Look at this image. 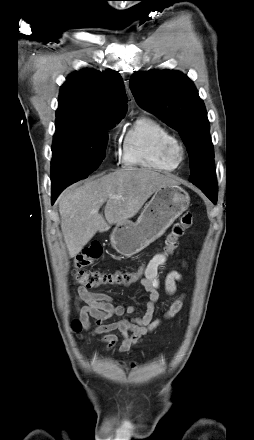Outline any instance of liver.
Segmentation results:
<instances>
[{"mask_svg":"<svg viewBox=\"0 0 254 440\" xmlns=\"http://www.w3.org/2000/svg\"><path fill=\"white\" fill-rule=\"evenodd\" d=\"M176 184L171 176L150 169L125 168L63 191L57 201L69 257H75L98 231L135 216L158 188ZM105 202L103 217L99 209Z\"/></svg>","mask_w":254,"mask_h":440,"instance_id":"6515ba94","label":"liver"}]
</instances>
